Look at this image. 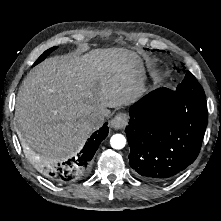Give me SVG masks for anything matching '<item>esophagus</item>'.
<instances>
[{
  "instance_id": "34e87169",
  "label": "esophagus",
  "mask_w": 221,
  "mask_h": 221,
  "mask_svg": "<svg viewBox=\"0 0 221 221\" xmlns=\"http://www.w3.org/2000/svg\"><path fill=\"white\" fill-rule=\"evenodd\" d=\"M129 117L126 113H118L111 120L110 126L115 129H122L128 124Z\"/></svg>"
}]
</instances>
